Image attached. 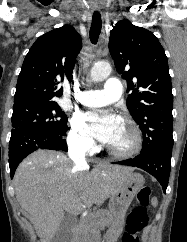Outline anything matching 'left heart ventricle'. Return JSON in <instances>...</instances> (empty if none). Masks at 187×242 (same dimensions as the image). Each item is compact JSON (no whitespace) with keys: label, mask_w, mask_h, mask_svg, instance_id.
I'll use <instances>...</instances> for the list:
<instances>
[{"label":"left heart ventricle","mask_w":187,"mask_h":242,"mask_svg":"<svg viewBox=\"0 0 187 242\" xmlns=\"http://www.w3.org/2000/svg\"><path fill=\"white\" fill-rule=\"evenodd\" d=\"M133 144L134 135L132 130L128 125L120 120L109 146L117 150H127L131 148Z\"/></svg>","instance_id":"obj_1"}]
</instances>
